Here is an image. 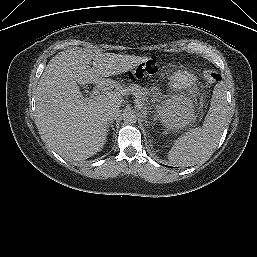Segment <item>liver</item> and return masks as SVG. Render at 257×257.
I'll return each instance as SVG.
<instances>
[{
	"label": "liver",
	"mask_w": 257,
	"mask_h": 257,
	"mask_svg": "<svg viewBox=\"0 0 257 257\" xmlns=\"http://www.w3.org/2000/svg\"><path fill=\"white\" fill-rule=\"evenodd\" d=\"M145 60L75 47L56 54L47 64L36 92L38 125L45 142L69 161L86 160L99 152L108 132L104 113L119 108L123 99L119 91H111L93 100L83 96L78 84L98 83L101 78L128 72ZM101 82L109 88L118 87L112 80Z\"/></svg>",
	"instance_id": "6515ba94"
}]
</instances>
